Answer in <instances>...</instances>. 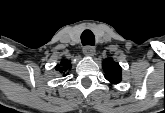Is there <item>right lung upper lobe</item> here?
<instances>
[{"instance_id":"obj_1","label":"right lung upper lobe","mask_w":165,"mask_h":113,"mask_svg":"<svg viewBox=\"0 0 165 113\" xmlns=\"http://www.w3.org/2000/svg\"><path fill=\"white\" fill-rule=\"evenodd\" d=\"M71 69L70 61L62 60L60 64L56 66V71H59L63 74V76H66V72Z\"/></svg>"}]
</instances>
